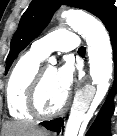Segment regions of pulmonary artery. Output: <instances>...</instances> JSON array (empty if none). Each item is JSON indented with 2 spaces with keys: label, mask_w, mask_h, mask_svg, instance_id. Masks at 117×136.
<instances>
[{
  "label": "pulmonary artery",
  "mask_w": 117,
  "mask_h": 136,
  "mask_svg": "<svg viewBox=\"0 0 117 136\" xmlns=\"http://www.w3.org/2000/svg\"><path fill=\"white\" fill-rule=\"evenodd\" d=\"M77 48H79V38L75 32L69 29H58L31 45V50L42 58L54 51L66 52Z\"/></svg>",
  "instance_id": "1"
}]
</instances>
